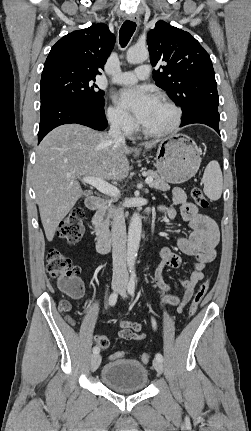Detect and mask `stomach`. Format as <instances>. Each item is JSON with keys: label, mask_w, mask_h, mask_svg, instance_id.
<instances>
[{"label": "stomach", "mask_w": 251, "mask_h": 431, "mask_svg": "<svg viewBox=\"0 0 251 431\" xmlns=\"http://www.w3.org/2000/svg\"><path fill=\"white\" fill-rule=\"evenodd\" d=\"M155 159L159 176L172 184L184 183L191 179L201 163L198 147L183 134L163 139L158 145Z\"/></svg>", "instance_id": "1"}]
</instances>
